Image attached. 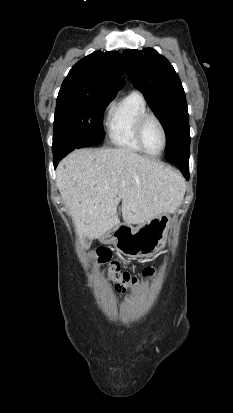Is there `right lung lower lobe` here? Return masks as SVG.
Segmentation results:
<instances>
[{
    "label": "right lung lower lobe",
    "mask_w": 233,
    "mask_h": 413,
    "mask_svg": "<svg viewBox=\"0 0 233 413\" xmlns=\"http://www.w3.org/2000/svg\"><path fill=\"white\" fill-rule=\"evenodd\" d=\"M75 148H80V147H69V148H64V149H60L57 151H53L54 168L57 167L59 161L62 158H64L68 153L73 151Z\"/></svg>",
    "instance_id": "1"
}]
</instances>
